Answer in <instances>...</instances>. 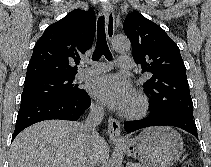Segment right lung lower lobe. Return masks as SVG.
Segmentation results:
<instances>
[{
	"label": "right lung lower lobe",
	"instance_id": "1",
	"mask_svg": "<svg viewBox=\"0 0 211 167\" xmlns=\"http://www.w3.org/2000/svg\"><path fill=\"white\" fill-rule=\"evenodd\" d=\"M90 103V97L85 90L70 97L21 100L12 141L23 129L39 121L49 119L78 120L90 106Z\"/></svg>",
	"mask_w": 211,
	"mask_h": 167
}]
</instances>
